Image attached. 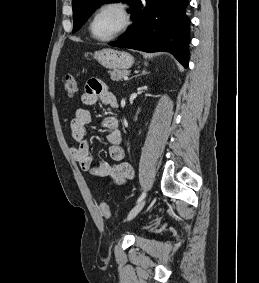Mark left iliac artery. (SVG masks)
<instances>
[{"label":"left iliac artery","mask_w":259,"mask_h":283,"mask_svg":"<svg viewBox=\"0 0 259 283\" xmlns=\"http://www.w3.org/2000/svg\"><path fill=\"white\" fill-rule=\"evenodd\" d=\"M146 196V192H142V194L139 196L138 200H137V203L140 202L141 200H143Z\"/></svg>","instance_id":"1"}]
</instances>
